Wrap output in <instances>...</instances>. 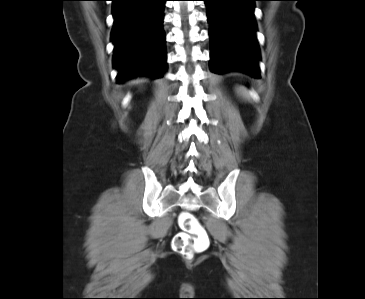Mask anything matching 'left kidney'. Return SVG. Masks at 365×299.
<instances>
[{
  "instance_id": "1",
  "label": "left kidney",
  "mask_w": 365,
  "mask_h": 299,
  "mask_svg": "<svg viewBox=\"0 0 365 299\" xmlns=\"http://www.w3.org/2000/svg\"><path fill=\"white\" fill-rule=\"evenodd\" d=\"M243 91L246 93V90L245 89H243Z\"/></svg>"
}]
</instances>
